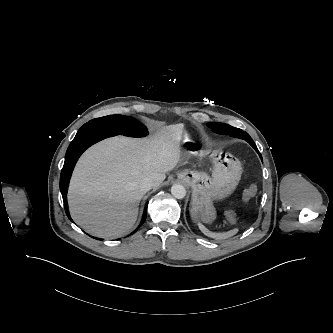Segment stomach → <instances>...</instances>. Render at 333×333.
Instances as JSON below:
<instances>
[{
    "mask_svg": "<svg viewBox=\"0 0 333 333\" xmlns=\"http://www.w3.org/2000/svg\"><path fill=\"white\" fill-rule=\"evenodd\" d=\"M192 155L206 160L211 167V175L195 169H183L177 177L192 189L191 218L211 223L216 218L213 201L226 198L235 190L241 178L242 165L231 153L221 150L196 149Z\"/></svg>",
    "mask_w": 333,
    "mask_h": 333,
    "instance_id": "1",
    "label": "stomach"
}]
</instances>
